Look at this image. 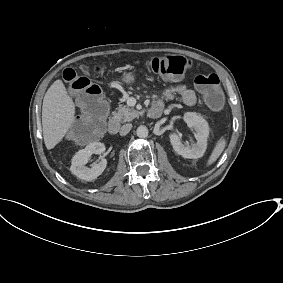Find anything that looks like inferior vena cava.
I'll use <instances>...</instances> for the list:
<instances>
[{"mask_svg": "<svg viewBox=\"0 0 283 283\" xmlns=\"http://www.w3.org/2000/svg\"><path fill=\"white\" fill-rule=\"evenodd\" d=\"M131 129H132V124L130 123L123 125L120 129V135L121 136L127 135Z\"/></svg>", "mask_w": 283, "mask_h": 283, "instance_id": "602c4592", "label": "inferior vena cava"}]
</instances>
